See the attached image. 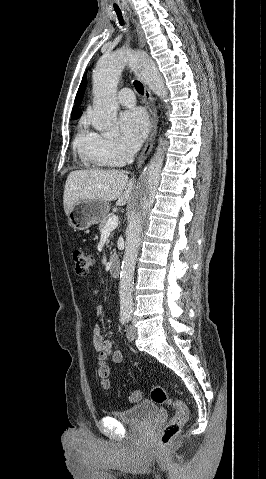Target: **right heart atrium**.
Instances as JSON below:
<instances>
[{
	"mask_svg": "<svg viewBox=\"0 0 266 479\" xmlns=\"http://www.w3.org/2000/svg\"><path fill=\"white\" fill-rule=\"evenodd\" d=\"M97 150L111 166H123L132 158L127 147L113 137L97 135Z\"/></svg>",
	"mask_w": 266,
	"mask_h": 479,
	"instance_id": "d8ad5b80",
	"label": "right heart atrium"
}]
</instances>
